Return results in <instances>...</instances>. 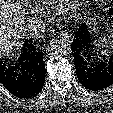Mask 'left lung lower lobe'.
Here are the masks:
<instances>
[{"label": "left lung lower lobe", "mask_w": 113, "mask_h": 113, "mask_svg": "<svg viewBox=\"0 0 113 113\" xmlns=\"http://www.w3.org/2000/svg\"><path fill=\"white\" fill-rule=\"evenodd\" d=\"M91 32L86 24H82L75 33L71 48L80 83L89 90L98 91L113 83V49L108 57H98Z\"/></svg>", "instance_id": "0a47b994"}]
</instances>
